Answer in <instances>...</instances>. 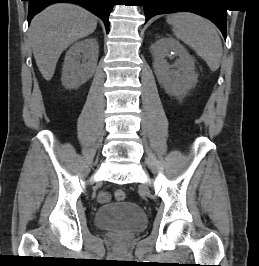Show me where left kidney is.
Masks as SVG:
<instances>
[{"mask_svg":"<svg viewBox=\"0 0 259 266\" xmlns=\"http://www.w3.org/2000/svg\"><path fill=\"white\" fill-rule=\"evenodd\" d=\"M171 53L179 57L173 65L166 60ZM152 55L154 72L167 93L180 97L196 85L195 60L175 38L166 36L158 39L152 45Z\"/></svg>","mask_w":259,"mask_h":266,"instance_id":"obj_1","label":"left kidney"}]
</instances>
